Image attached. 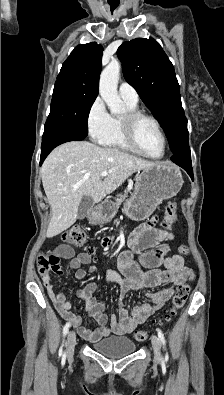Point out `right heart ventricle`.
I'll list each match as a JSON object with an SVG mask.
<instances>
[{
	"label": "right heart ventricle",
	"instance_id": "1",
	"mask_svg": "<svg viewBox=\"0 0 224 395\" xmlns=\"http://www.w3.org/2000/svg\"><path fill=\"white\" fill-rule=\"evenodd\" d=\"M128 111L137 110V104L124 101ZM99 142L107 147L120 149L127 152L137 153L131 148L124 138L121 124V117L112 116L109 130L99 140Z\"/></svg>",
	"mask_w": 224,
	"mask_h": 395
}]
</instances>
